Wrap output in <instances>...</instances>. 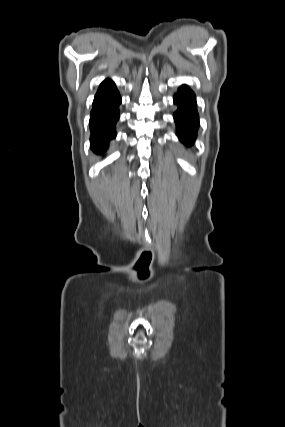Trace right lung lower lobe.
Here are the masks:
<instances>
[{
  "instance_id": "98d812e1",
  "label": "right lung lower lobe",
  "mask_w": 285,
  "mask_h": 427,
  "mask_svg": "<svg viewBox=\"0 0 285 427\" xmlns=\"http://www.w3.org/2000/svg\"><path fill=\"white\" fill-rule=\"evenodd\" d=\"M121 97L113 81L107 79L99 87L93 101L90 115L91 149L101 154L105 152L110 140L116 137L115 124L119 119L118 106Z\"/></svg>"
}]
</instances>
